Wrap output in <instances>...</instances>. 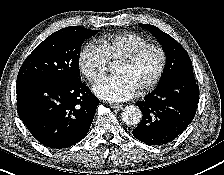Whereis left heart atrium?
Segmentation results:
<instances>
[{
  "label": "left heart atrium",
  "instance_id": "39dd6f15",
  "mask_svg": "<svg viewBox=\"0 0 224 175\" xmlns=\"http://www.w3.org/2000/svg\"><path fill=\"white\" fill-rule=\"evenodd\" d=\"M135 86L124 76L105 77L93 86V92L101 99L121 102L132 98Z\"/></svg>",
  "mask_w": 224,
  "mask_h": 175
}]
</instances>
